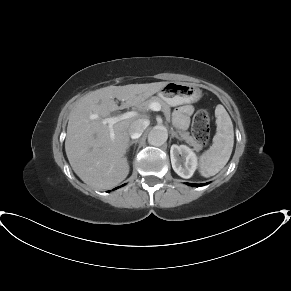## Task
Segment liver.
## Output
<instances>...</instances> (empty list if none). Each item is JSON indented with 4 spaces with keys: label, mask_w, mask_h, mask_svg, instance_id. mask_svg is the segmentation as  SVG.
Wrapping results in <instances>:
<instances>
[{
    "label": "liver",
    "mask_w": 291,
    "mask_h": 291,
    "mask_svg": "<svg viewBox=\"0 0 291 291\" xmlns=\"http://www.w3.org/2000/svg\"><path fill=\"white\" fill-rule=\"evenodd\" d=\"M167 83L108 86L85 95L77 102L69 116L65 151L72 169L84 183L97 189H109L127 177L128 129L140 117L114 124L113 140L109 126L102 120L118 109L140 106ZM114 98L122 101L120 107Z\"/></svg>",
    "instance_id": "obj_1"
}]
</instances>
